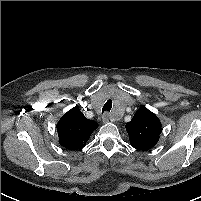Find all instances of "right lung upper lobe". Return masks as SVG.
<instances>
[{
	"instance_id": "right-lung-upper-lobe-1",
	"label": "right lung upper lobe",
	"mask_w": 201,
	"mask_h": 201,
	"mask_svg": "<svg viewBox=\"0 0 201 201\" xmlns=\"http://www.w3.org/2000/svg\"><path fill=\"white\" fill-rule=\"evenodd\" d=\"M98 124L87 119L76 106L68 111L58 122L59 143L69 149L83 148Z\"/></svg>"
}]
</instances>
